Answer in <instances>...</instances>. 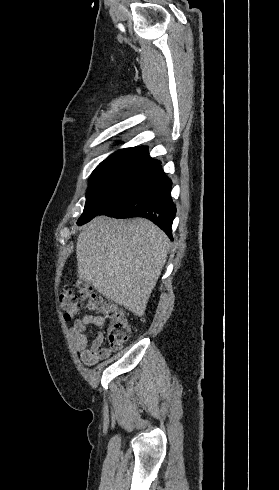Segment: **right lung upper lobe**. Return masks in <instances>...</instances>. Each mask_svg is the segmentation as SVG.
<instances>
[{
    "label": "right lung upper lobe",
    "mask_w": 279,
    "mask_h": 490,
    "mask_svg": "<svg viewBox=\"0 0 279 490\" xmlns=\"http://www.w3.org/2000/svg\"><path fill=\"white\" fill-rule=\"evenodd\" d=\"M109 162H131L139 164H160L156 159H152L148 155V147L137 146L118 150L111 154L102 163Z\"/></svg>",
    "instance_id": "cb5924a9"
}]
</instances>
